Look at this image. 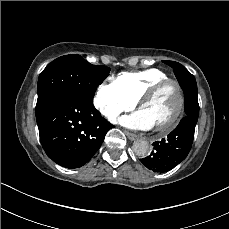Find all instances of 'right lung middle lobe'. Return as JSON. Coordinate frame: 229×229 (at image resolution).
Here are the masks:
<instances>
[{
  "label": "right lung middle lobe",
  "instance_id": "1",
  "mask_svg": "<svg viewBox=\"0 0 229 229\" xmlns=\"http://www.w3.org/2000/svg\"><path fill=\"white\" fill-rule=\"evenodd\" d=\"M110 68L95 66L80 55L61 56L41 72L38 79L36 113L52 98L70 93L93 102L97 87L107 78Z\"/></svg>",
  "mask_w": 229,
  "mask_h": 229
}]
</instances>
